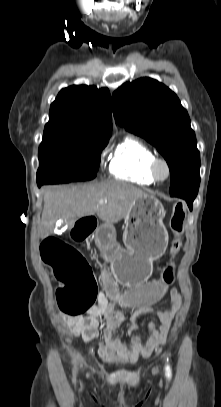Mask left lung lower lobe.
Here are the masks:
<instances>
[{
    "label": "left lung lower lobe",
    "mask_w": 221,
    "mask_h": 407,
    "mask_svg": "<svg viewBox=\"0 0 221 407\" xmlns=\"http://www.w3.org/2000/svg\"><path fill=\"white\" fill-rule=\"evenodd\" d=\"M200 180L191 184L182 186L175 191L171 192L172 197H179L186 200L188 207L192 210L193 201L198 193Z\"/></svg>",
    "instance_id": "1"
}]
</instances>
